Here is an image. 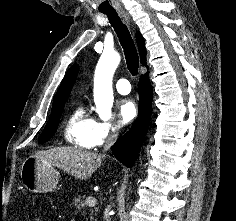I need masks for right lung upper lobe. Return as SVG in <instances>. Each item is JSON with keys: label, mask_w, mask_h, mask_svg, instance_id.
Returning a JSON list of instances; mask_svg holds the SVG:
<instances>
[{"label": "right lung upper lobe", "mask_w": 236, "mask_h": 221, "mask_svg": "<svg viewBox=\"0 0 236 221\" xmlns=\"http://www.w3.org/2000/svg\"><path fill=\"white\" fill-rule=\"evenodd\" d=\"M136 41L140 53L141 63L146 65V49L145 42L142 35L137 32L136 33ZM79 66L73 65L66 73L62 83L54 97L53 107L62 103H65L70 95L71 89L75 82Z\"/></svg>", "instance_id": "1"}]
</instances>
